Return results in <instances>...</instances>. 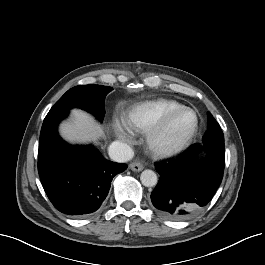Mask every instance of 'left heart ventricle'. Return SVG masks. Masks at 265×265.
I'll return each mask as SVG.
<instances>
[{
  "mask_svg": "<svg viewBox=\"0 0 265 265\" xmlns=\"http://www.w3.org/2000/svg\"><path fill=\"white\" fill-rule=\"evenodd\" d=\"M195 123L193 113L186 111L175 116L166 133V138L170 140H179L187 136L192 130Z\"/></svg>",
  "mask_w": 265,
  "mask_h": 265,
  "instance_id": "left-heart-ventricle-1",
  "label": "left heart ventricle"
}]
</instances>
